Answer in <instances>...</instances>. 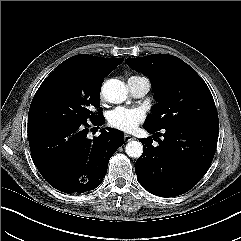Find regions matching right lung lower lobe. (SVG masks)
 <instances>
[{
  "instance_id": "98d812e1",
  "label": "right lung lower lobe",
  "mask_w": 241,
  "mask_h": 241,
  "mask_svg": "<svg viewBox=\"0 0 241 241\" xmlns=\"http://www.w3.org/2000/svg\"><path fill=\"white\" fill-rule=\"evenodd\" d=\"M101 126L103 115L92 120ZM88 124L48 122L28 126L32 159L43 178L64 193H83L97 188L107 172L109 159L123 145L124 134L102 129L87 138Z\"/></svg>"
}]
</instances>
